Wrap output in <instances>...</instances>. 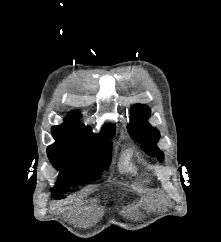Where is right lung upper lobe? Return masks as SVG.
<instances>
[{"label":"right lung upper lobe","instance_id":"obj_1","mask_svg":"<svg viewBox=\"0 0 221 242\" xmlns=\"http://www.w3.org/2000/svg\"><path fill=\"white\" fill-rule=\"evenodd\" d=\"M77 118H80V115L78 112H74L73 115L65 119V124L54 126L52 131L77 134L89 139H105L114 136L113 126H105L100 134H93L89 127L79 123Z\"/></svg>","mask_w":221,"mask_h":242}]
</instances>
